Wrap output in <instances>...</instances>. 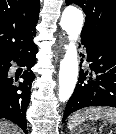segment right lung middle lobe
<instances>
[{
    "instance_id": "right-lung-middle-lobe-1",
    "label": "right lung middle lobe",
    "mask_w": 116,
    "mask_h": 134,
    "mask_svg": "<svg viewBox=\"0 0 116 134\" xmlns=\"http://www.w3.org/2000/svg\"><path fill=\"white\" fill-rule=\"evenodd\" d=\"M7 76V68L4 62H0V80H3Z\"/></svg>"
}]
</instances>
